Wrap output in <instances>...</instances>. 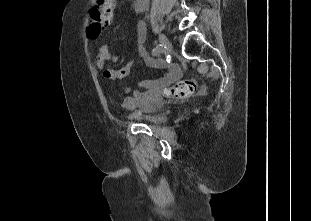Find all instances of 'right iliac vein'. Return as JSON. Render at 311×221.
<instances>
[{
  "label": "right iliac vein",
  "instance_id": "1",
  "mask_svg": "<svg viewBox=\"0 0 311 221\" xmlns=\"http://www.w3.org/2000/svg\"><path fill=\"white\" fill-rule=\"evenodd\" d=\"M159 39L162 45V51H164L165 53H169L172 49V45L166 35L160 34Z\"/></svg>",
  "mask_w": 311,
  "mask_h": 221
}]
</instances>
